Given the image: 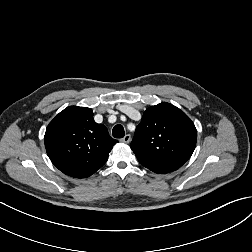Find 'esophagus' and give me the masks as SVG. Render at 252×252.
<instances>
[{"label": "esophagus", "instance_id": "34e87169", "mask_svg": "<svg viewBox=\"0 0 252 252\" xmlns=\"http://www.w3.org/2000/svg\"><path fill=\"white\" fill-rule=\"evenodd\" d=\"M130 141H131V135L130 134H127V135H125L122 139H121V142H123V143H130Z\"/></svg>", "mask_w": 252, "mask_h": 252}]
</instances>
